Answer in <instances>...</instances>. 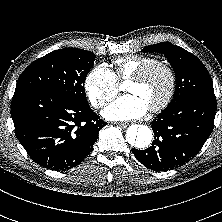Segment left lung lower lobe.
Listing matches in <instances>:
<instances>
[{
    "instance_id": "0a47b994",
    "label": "left lung lower lobe",
    "mask_w": 222,
    "mask_h": 222,
    "mask_svg": "<svg viewBox=\"0 0 222 222\" xmlns=\"http://www.w3.org/2000/svg\"><path fill=\"white\" fill-rule=\"evenodd\" d=\"M216 100L193 97L164 109L151 122L152 145L132 149L136 159L155 171H167L194 158L214 127Z\"/></svg>"
}]
</instances>
